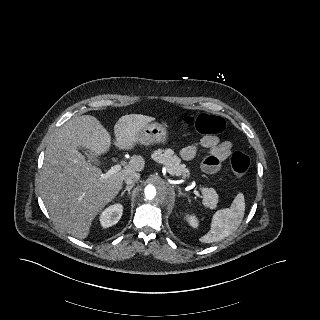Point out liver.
I'll use <instances>...</instances> for the list:
<instances>
[{
	"instance_id": "1",
	"label": "liver",
	"mask_w": 320,
	"mask_h": 320,
	"mask_svg": "<svg viewBox=\"0 0 320 320\" xmlns=\"http://www.w3.org/2000/svg\"><path fill=\"white\" fill-rule=\"evenodd\" d=\"M153 120L141 114L120 117L114 126V145L121 150L133 149L139 141L138 132ZM111 143V135L97 118L82 115L67 121L47 147L42 198L54 223L76 238L88 236L93 219L119 193L125 177L144 169V158L134 155L121 171L106 177L78 151L85 148L102 155Z\"/></svg>"
}]
</instances>
